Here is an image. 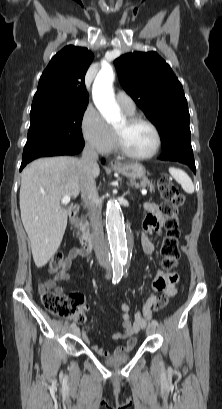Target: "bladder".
Listing matches in <instances>:
<instances>
[{"mask_svg":"<svg viewBox=\"0 0 222 409\" xmlns=\"http://www.w3.org/2000/svg\"><path fill=\"white\" fill-rule=\"evenodd\" d=\"M129 358L128 353H121L117 355H112L104 361V364L110 367H118L123 365Z\"/></svg>","mask_w":222,"mask_h":409,"instance_id":"bladder-1","label":"bladder"}]
</instances>
